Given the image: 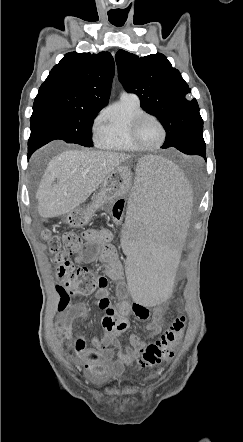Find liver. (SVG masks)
Returning a JSON list of instances; mask_svg holds the SVG:
<instances>
[{"label": "liver", "mask_w": 243, "mask_h": 442, "mask_svg": "<svg viewBox=\"0 0 243 442\" xmlns=\"http://www.w3.org/2000/svg\"><path fill=\"white\" fill-rule=\"evenodd\" d=\"M128 159L127 154L90 149L64 151L53 157L37 192L40 216L53 218L76 209Z\"/></svg>", "instance_id": "1"}]
</instances>
